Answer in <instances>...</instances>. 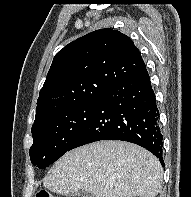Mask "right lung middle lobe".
I'll return each instance as SVG.
<instances>
[{"mask_svg":"<svg viewBox=\"0 0 191 197\" xmlns=\"http://www.w3.org/2000/svg\"><path fill=\"white\" fill-rule=\"evenodd\" d=\"M97 107V101L56 112L32 126L30 159L40 169L59 159L73 144Z\"/></svg>","mask_w":191,"mask_h":197,"instance_id":"obj_1","label":"right lung middle lobe"}]
</instances>
